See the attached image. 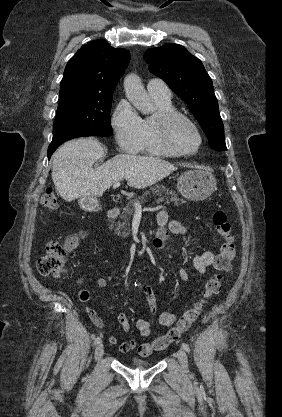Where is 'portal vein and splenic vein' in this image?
Masks as SVG:
<instances>
[{"mask_svg": "<svg viewBox=\"0 0 282 417\" xmlns=\"http://www.w3.org/2000/svg\"><path fill=\"white\" fill-rule=\"evenodd\" d=\"M120 184H121V182H114V184H113V188H118V186H120ZM135 206H136V209H142L141 208V204H140V202H136V204H135Z\"/></svg>", "mask_w": 282, "mask_h": 417, "instance_id": "portal-vein-and-splenic-vein-1", "label": "portal vein and splenic vein"}]
</instances>
